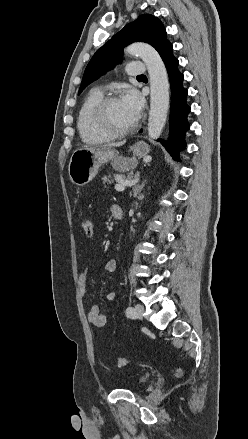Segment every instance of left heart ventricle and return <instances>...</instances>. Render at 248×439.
Returning <instances> with one entry per match:
<instances>
[{"label":"left heart ventricle","instance_id":"b2bd125f","mask_svg":"<svg viewBox=\"0 0 248 439\" xmlns=\"http://www.w3.org/2000/svg\"><path fill=\"white\" fill-rule=\"evenodd\" d=\"M108 116L110 123L119 129L127 128L135 122L120 99L110 105Z\"/></svg>","mask_w":248,"mask_h":439}]
</instances>
